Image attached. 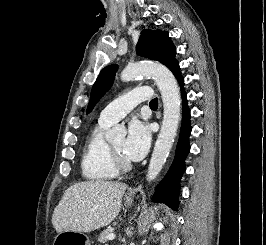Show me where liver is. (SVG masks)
Masks as SVG:
<instances>
[{"label": "liver", "mask_w": 266, "mask_h": 245, "mask_svg": "<svg viewBox=\"0 0 266 245\" xmlns=\"http://www.w3.org/2000/svg\"><path fill=\"white\" fill-rule=\"evenodd\" d=\"M126 189L124 183L113 181L74 183L54 209L52 225L56 233H89L107 227L120 213Z\"/></svg>", "instance_id": "1"}]
</instances>
